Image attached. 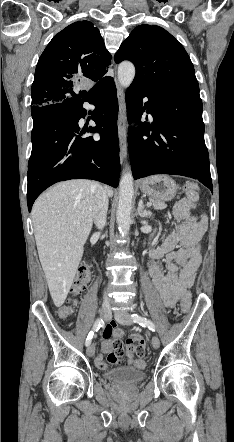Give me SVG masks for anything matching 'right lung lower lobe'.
<instances>
[{
  "label": "right lung lower lobe",
  "instance_id": "1",
  "mask_svg": "<svg viewBox=\"0 0 234 442\" xmlns=\"http://www.w3.org/2000/svg\"><path fill=\"white\" fill-rule=\"evenodd\" d=\"M84 102L95 105L92 120L96 127L80 129L86 116ZM32 152L28 163L27 203L52 184L70 179H93L117 187L120 175L117 133L118 100L110 77L97 84L84 98L31 109ZM99 131L100 139L81 137Z\"/></svg>",
  "mask_w": 234,
  "mask_h": 442
}]
</instances>
